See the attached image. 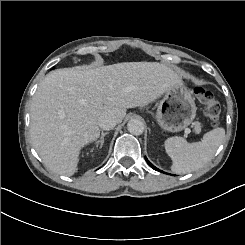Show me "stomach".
I'll list each match as a JSON object with an SVG mask.
<instances>
[{
    "label": "stomach",
    "mask_w": 245,
    "mask_h": 245,
    "mask_svg": "<svg viewBox=\"0 0 245 245\" xmlns=\"http://www.w3.org/2000/svg\"><path fill=\"white\" fill-rule=\"evenodd\" d=\"M196 110L191 91L183 82L176 83L165 90L157 109L156 119L162 128L177 132L194 120Z\"/></svg>",
    "instance_id": "obj_1"
}]
</instances>
